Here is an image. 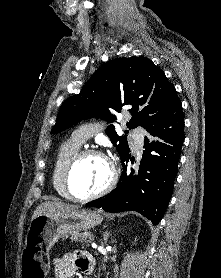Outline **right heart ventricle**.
<instances>
[{
  "label": "right heart ventricle",
  "mask_w": 221,
  "mask_h": 278,
  "mask_svg": "<svg viewBox=\"0 0 221 278\" xmlns=\"http://www.w3.org/2000/svg\"><path fill=\"white\" fill-rule=\"evenodd\" d=\"M82 142L71 137L59 148L52 172V184L57 194L65 199H70L63 186V172L69 159L80 150Z\"/></svg>",
  "instance_id": "e07e8e85"
}]
</instances>
